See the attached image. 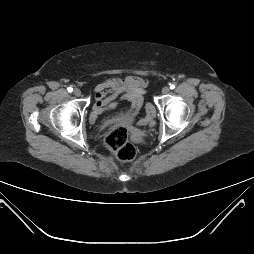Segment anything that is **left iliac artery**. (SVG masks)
<instances>
[{
	"mask_svg": "<svg viewBox=\"0 0 254 254\" xmlns=\"http://www.w3.org/2000/svg\"><path fill=\"white\" fill-rule=\"evenodd\" d=\"M175 88V85L174 84H171L170 85V89H174Z\"/></svg>",
	"mask_w": 254,
	"mask_h": 254,
	"instance_id": "obj_1",
	"label": "left iliac artery"
}]
</instances>
